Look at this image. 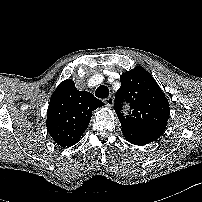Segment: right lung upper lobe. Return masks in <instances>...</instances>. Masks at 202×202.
Listing matches in <instances>:
<instances>
[{
	"mask_svg": "<svg viewBox=\"0 0 202 202\" xmlns=\"http://www.w3.org/2000/svg\"><path fill=\"white\" fill-rule=\"evenodd\" d=\"M103 105L90 92L77 90L72 80L61 82L48 106L46 126L50 136L63 148L74 145L88 127L92 111Z\"/></svg>",
	"mask_w": 202,
	"mask_h": 202,
	"instance_id": "obj_1",
	"label": "right lung upper lobe"
}]
</instances>
